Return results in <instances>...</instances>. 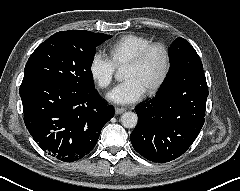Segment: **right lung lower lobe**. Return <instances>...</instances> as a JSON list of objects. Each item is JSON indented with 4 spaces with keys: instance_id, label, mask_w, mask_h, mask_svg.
Returning a JSON list of instances; mask_svg holds the SVG:
<instances>
[{
    "instance_id": "98d812e1",
    "label": "right lung lower lobe",
    "mask_w": 240,
    "mask_h": 191,
    "mask_svg": "<svg viewBox=\"0 0 240 191\" xmlns=\"http://www.w3.org/2000/svg\"><path fill=\"white\" fill-rule=\"evenodd\" d=\"M25 125L39 147L53 158L74 162L95 147L114 111L96 89L79 91L70 85L22 81Z\"/></svg>"
}]
</instances>
